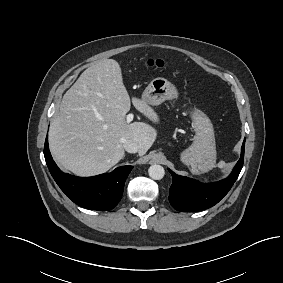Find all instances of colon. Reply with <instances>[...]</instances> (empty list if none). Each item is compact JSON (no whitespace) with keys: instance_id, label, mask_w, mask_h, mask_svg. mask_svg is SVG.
Wrapping results in <instances>:
<instances>
[{"instance_id":"colon-1","label":"colon","mask_w":283,"mask_h":283,"mask_svg":"<svg viewBox=\"0 0 283 283\" xmlns=\"http://www.w3.org/2000/svg\"><path fill=\"white\" fill-rule=\"evenodd\" d=\"M147 65L151 68H158L161 69L165 66L164 62L162 60H149L147 62Z\"/></svg>"}]
</instances>
